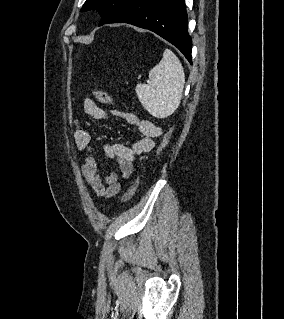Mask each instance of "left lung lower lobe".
Segmentation results:
<instances>
[{
    "instance_id": "1",
    "label": "left lung lower lobe",
    "mask_w": 284,
    "mask_h": 319,
    "mask_svg": "<svg viewBox=\"0 0 284 319\" xmlns=\"http://www.w3.org/2000/svg\"><path fill=\"white\" fill-rule=\"evenodd\" d=\"M128 23L148 29L177 47L192 64L184 0H125L105 23Z\"/></svg>"
}]
</instances>
